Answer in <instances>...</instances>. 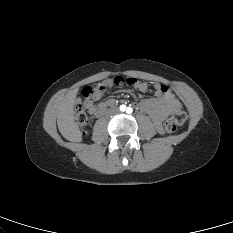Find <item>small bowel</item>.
Instances as JSON below:
<instances>
[{"mask_svg": "<svg viewBox=\"0 0 233 233\" xmlns=\"http://www.w3.org/2000/svg\"><path fill=\"white\" fill-rule=\"evenodd\" d=\"M133 86L141 92H145L149 88L147 83L137 80ZM152 88L155 92V97L137 101L135 102V107L140 112L149 115L154 122L156 130L161 133L163 131L162 123L164 119L173 111L180 109L181 104L167 85L155 83ZM114 103V99H107L100 103L94 102L89 111L95 113L105 105H113Z\"/></svg>", "mask_w": 233, "mask_h": 233, "instance_id": "c3829d8e", "label": "small bowel"}]
</instances>
